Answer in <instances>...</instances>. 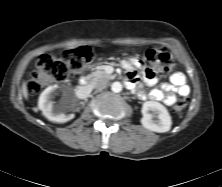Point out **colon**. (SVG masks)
<instances>
[{
	"label": "colon",
	"instance_id": "1",
	"mask_svg": "<svg viewBox=\"0 0 222 187\" xmlns=\"http://www.w3.org/2000/svg\"><path fill=\"white\" fill-rule=\"evenodd\" d=\"M146 60L151 63L155 72L168 74L173 69V61L168 52L150 49L145 54ZM92 53L87 48L66 50L61 57L44 54L39 57L36 70L28 81L27 89L30 94H38L45 86L53 82H61L69 77L79 78L89 68ZM153 75V72H150ZM188 104L186 97H180L174 104V111L181 113Z\"/></svg>",
	"mask_w": 222,
	"mask_h": 187
}]
</instances>
